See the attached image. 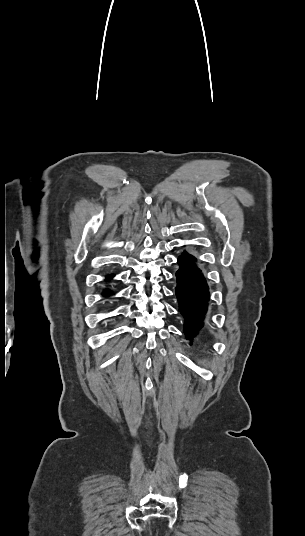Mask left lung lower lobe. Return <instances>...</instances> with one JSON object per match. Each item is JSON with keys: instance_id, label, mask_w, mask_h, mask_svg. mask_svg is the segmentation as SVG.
<instances>
[{"instance_id": "1", "label": "left lung lower lobe", "mask_w": 305, "mask_h": 536, "mask_svg": "<svg viewBox=\"0 0 305 536\" xmlns=\"http://www.w3.org/2000/svg\"><path fill=\"white\" fill-rule=\"evenodd\" d=\"M195 262V257L184 251L178 258L180 268L176 272L179 311L185 318L186 338L191 341L204 327L210 295L206 280Z\"/></svg>"}]
</instances>
